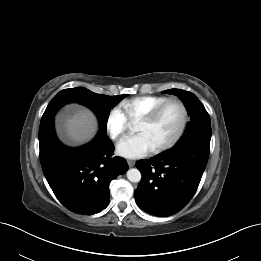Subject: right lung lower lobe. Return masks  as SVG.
Instances as JSON below:
<instances>
[{
    "label": "right lung lower lobe",
    "instance_id": "right-lung-lower-lobe-1",
    "mask_svg": "<svg viewBox=\"0 0 261 261\" xmlns=\"http://www.w3.org/2000/svg\"><path fill=\"white\" fill-rule=\"evenodd\" d=\"M40 161L56 197L77 214L99 213L109 204V184L128 170L125 159L112 157L114 145L99 131L87 145L70 148L55 135L54 118L39 128Z\"/></svg>",
    "mask_w": 261,
    "mask_h": 261
}]
</instances>
